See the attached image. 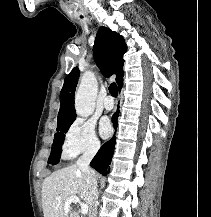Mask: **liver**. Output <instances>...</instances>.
<instances>
[{"label":"liver","mask_w":211,"mask_h":217,"mask_svg":"<svg viewBox=\"0 0 211 217\" xmlns=\"http://www.w3.org/2000/svg\"><path fill=\"white\" fill-rule=\"evenodd\" d=\"M71 196H77L90 208L86 178L76 164L57 170L44 179L42 184L44 217H79L71 206L72 203L68 211L64 210V205Z\"/></svg>","instance_id":"1"}]
</instances>
